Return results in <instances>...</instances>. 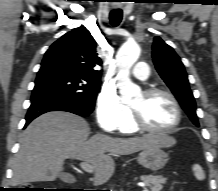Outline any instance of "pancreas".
Segmentation results:
<instances>
[{
	"instance_id": "cf45deb5",
	"label": "pancreas",
	"mask_w": 218,
	"mask_h": 191,
	"mask_svg": "<svg viewBox=\"0 0 218 191\" xmlns=\"http://www.w3.org/2000/svg\"><path fill=\"white\" fill-rule=\"evenodd\" d=\"M141 180L144 182L146 186H149L151 191H161L163 188V184L166 183V178L162 176H141Z\"/></svg>"
}]
</instances>
